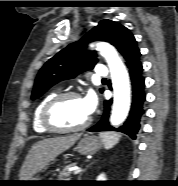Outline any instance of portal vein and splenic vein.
<instances>
[{
	"mask_svg": "<svg viewBox=\"0 0 178 186\" xmlns=\"http://www.w3.org/2000/svg\"><path fill=\"white\" fill-rule=\"evenodd\" d=\"M82 169L81 168H77L75 171H74V174L77 175L79 173H81Z\"/></svg>",
	"mask_w": 178,
	"mask_h": 186,
	"instance_id": "1",
	"label": "portal vein and splenic vein"
}]
</instances>
